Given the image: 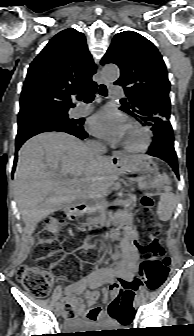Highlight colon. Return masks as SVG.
Masks as SVG:
<instances>
[{"label": "colon", "mask_w": 194, "mask_h": 336, "mask_svg": "<svg viewBox=\"0 0 194 336\" xmlns=\"http://www.w3.org/2000/svg\"><path fill=\"white\" fill-rule=\"evenodd\" d=\"M153 207V199L144 196L142 198V209L137 218L141 234L136 240V245L142 255L139 276L150 290L158 289L162 285L171 263L157 238L161 232V227L152 217ZM37 239L40 257L42 259L50 258L55 266H59L63 259V244L69 252L80 247L70 243L69 227L65 223V215L61 212L51 214L39 224ZM85 252L90 257L94 256L93 248H88ZM17 279L24 289L36 297H46L53 282L52 274L45 266H21L17 271ZM130 284L134 285L135 281L115 283L112 285V292L117 296L127 298L132 293ZM65 308L68 313H72L73 305L71 302H67Z\"/></svg>", "instance_id": "obj_1"}]
</instances>
